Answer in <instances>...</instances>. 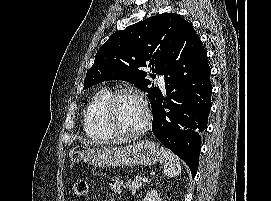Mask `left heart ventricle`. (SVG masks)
I'll use <instances>...</instances> for the list:
<instances>
[{"instance_id": "left-heart-ventricle-1", "label": "left heart ventricle", "mask_w": 271, "mask_h": 201, "mask_svg": "<svg viewBox=\"0 0 271 201\" xmlns=\"http://www.w3.org/2000/svg\"><path fill=\"white\" fill-rule=\"evenodd\" d=\"M115 117L122 128L136 130L145 122V110L139 100L123 97L116 104Z\"/></svg>"}]
</instances>
